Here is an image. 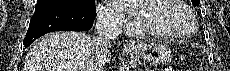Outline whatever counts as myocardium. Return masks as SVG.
<instances>
[{"instance_id":"myocardium-1","label":"myocardium","mask_w":230,"mask_h":71,"mask_svg":"<svg viewBox=\"0 0 230 71\" xmlns=\"http://www.w3.org/2000/svg\"><path fill=\"white\" fill-rule=\"evenodd\" d=\"M149 1H154V0H146V2ZM173 1H175L179 6L184 8L191 19L192 25L187 32L182 34H174V33H168L153 28L145 19V15H144L145 12L143 10L142 4L140 6H137L139 8L138 13L140 18V23L137 27L139 31L142 33H147L154 38L162 39V40H183L189 38L192 34H194V32L197 30L198 23L193 10L187 5L186 2L182 0H173Z\"/></svg>"}]
</instances>
